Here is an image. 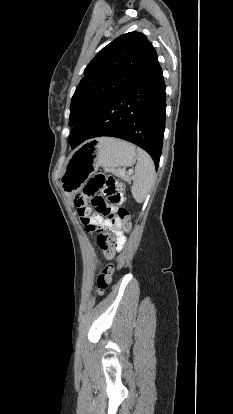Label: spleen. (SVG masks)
I'll list each match as a JSON object with an SVG mask.
<instances>
[{
	"mask_svg": "<svg viewBox=\"0 0 233 414\" xmlns=\"http://www.w3.org/2000/svg\"><path fill=\"white\" fill-rule=\"evenodd\" d=\"M138 162L131 188L134 199L141 203L145 200L155 181V166L152 158L144 150L137 148Z\"/></svg>",
	"mask_w": 233,
	"mask_h": 414,
	"instance_id": "obj_1",
	"label": "spleen"
}]
</instances>
